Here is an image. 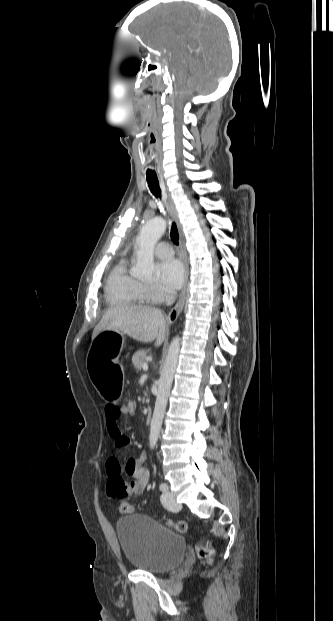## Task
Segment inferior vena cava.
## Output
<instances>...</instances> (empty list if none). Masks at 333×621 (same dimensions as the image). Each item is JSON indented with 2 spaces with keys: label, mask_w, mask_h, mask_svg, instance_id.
<instances>
[{
  "label": "inferior vena cava",
  "mask_w": 333,
  "mask_h": 621,
  "mask_svg": "<svg viewBox=\"0 0 333 621\" xmlns=\"http://www.w3.org/2000/svg\"><path fill=\"white\" fill-rule=\"evenodd\" d=\"M177 294L175 291H170L166 294V305H172L176 300Z\"/></svg>",
  "instance_id": "602c4592"
}]
</instances>
